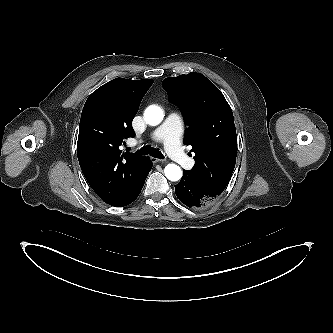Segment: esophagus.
I'll return each instance as SVG.
<instances>
[{
    "label": "esophagus",
    "mask_w": 333,
    "mask_h": 333,
    "mask_svg": "<svg viewBox=\"0 0 333 333\" xmlns=\"http://www.w3.org/2000/svg\"><path fill=\"white\" fill-rule=\"evenodd\" d=\"M150 159L153 163H163V162H165L164 159H159V158H155V157H150Z\"/></svg>",
    "instance_id": "obj_1"
}]
</instances>
